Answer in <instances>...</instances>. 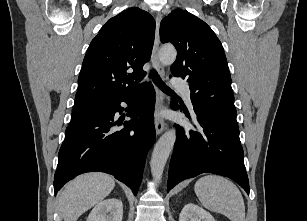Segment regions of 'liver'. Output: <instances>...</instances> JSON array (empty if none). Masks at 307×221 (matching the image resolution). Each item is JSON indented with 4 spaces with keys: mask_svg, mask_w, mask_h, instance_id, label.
Here are the masks:
<instances>
[{
    "mask_svg": "<svg viewBox=\"0 0 307 221\" xmlns=\"http://www.w3.org/2000/svg\"><path fill=\"white\" fill-rule=\"evenodd\" d=\"M115 187L114 178L104 173H87L70 181L59 195L64 221L77 219L106 198Z\"/></svg>",
    "mask_w": 307,
    "mask_h": 221,
    "instance_id": "6515ba94",
    "label": "liver"
}]
</instances>
